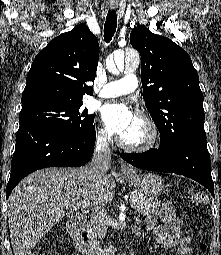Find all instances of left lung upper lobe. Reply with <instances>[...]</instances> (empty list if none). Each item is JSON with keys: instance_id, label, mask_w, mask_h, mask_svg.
Masks as SVG:
<instances>
[{"instance_id": "5c2ea615", "label": "left lung upper lobe", "mask_w": 221, "mask_h": 255, "mask_svg": "<svg viewBox=\"0 0 221 255\" xmlns=\"http://www.w3.org/2000/svg\"><path fill=\"white\" fill-rule=\"evenodd\" d=\"M130 43L141 55L143 98L160 145L172 148L188 139H206L203 94L188 53L144 25L134 27Z\"/></svg>"}]
</instances>
